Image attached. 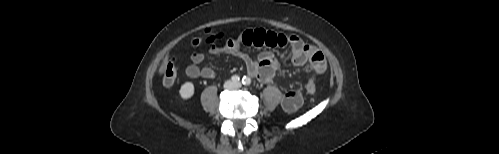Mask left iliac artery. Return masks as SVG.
Returning a JSON list of instances; mask_svg holds the SVG:
<instances>
[{
    "mask_svg": "<svg viewBox=\"0 0 499 154\" xmlns=\"http://www.w3.org/2000/svg\"><path fill=\"white\" fill-rule=\"evenodd\" d=\"M242 83H243L244 85H246V86H249V85L251 84V79H250L249 77H247V76H244V77L242 78Z\"/></svg>",
    "mask_w": 499,
    "mask_h": 154,
    "instance_id": "1",
    "label": "left iliac artery"
}]
</instances>
